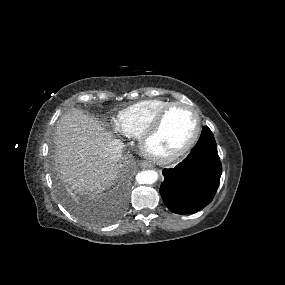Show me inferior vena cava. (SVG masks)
I'll list each match as a JSON object with an SVG mask.
<instances>
[{
    "mask_svg": "<svg viewBox=\"0 0 285 285\" xmlns=\"http://www.w3.org/2000/svg\"><path fill=\"white\" fill-rule=\"evenodd\" d=\"M110 157L114 161H119L122 157V150L125 147L124 143L118 139H114L109 143Z\"/></svg>",
    "mask_w": 285,
    "mask_h": 285,
    "instance_id": "inferior-vena-cava-1",
    "label": "inferior vena cava"
}]
</instances>
